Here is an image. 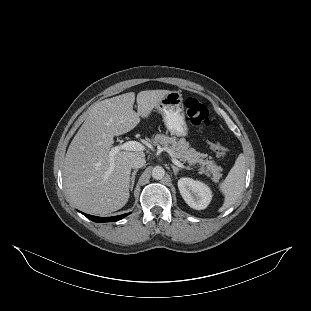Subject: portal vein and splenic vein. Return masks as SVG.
I'll return each instance as SVG.
<instances>
[{
	"label": "portal vein and splenic vein",
	"instance_id": "1",
	"mask_svg": "<svg viewBox=\"0 0 311 311\" xmlns=\"http://www.w3.org/2000/svg\"><path fill=\"white\" fill-rule=\"evenodd\" d=\"M142 149V145L140 142L135 141V140H129L126 141L124 143H119L117 145H112L110 152H109V157L113 158L116 154H118L121 151H137V150H141ZM172 161L173 163L182 169L188 170V171H196V168H192L189 167L187 165H184L181 161L175 159L174 157H172Z\"/></svg>",
	"mask_w": 311,
	"mask_h": 311
}]
</instances>
